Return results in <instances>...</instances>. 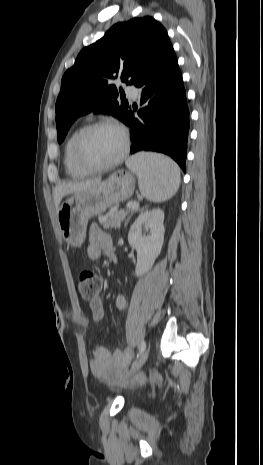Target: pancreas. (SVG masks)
<instances>
[{
	"mask_svg": "<svg viewBox=\"0 0 263 465\" xmlns=\"http://www.w3.org/2000/svg\"><path fill=\"white\" fill-rule=\"evenodd\" d=\"M132 213L131 210H123L115 212L110 217L99 216V223L104 229L120 228L121 222H123L128 214Z\"/></svg>",
	"mask_w": 263,
	"mask_h": 465,
	"instance_id": "1",
	"label": "pancreas"
}]
</instances>
